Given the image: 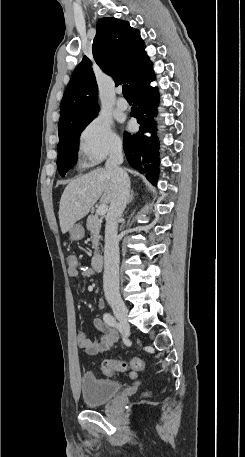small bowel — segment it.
I'll list each match as a JSON object with an SVG mask.
<instances>
[{
  "instance_id": "small-bowel-1",
  "label": "small bowel",
  "mask_w": 245,
  "mask_h": 457,
  "mask_svg": "<svg viewBox=\"0 0 245 457\" xmlns=\"http://www.w3.org/2000/svg\"><path fill=\"white\" fill-rule=\"evenodd\" d=\"M68 274L72 278H76L78 276L91 277L94 275V272L91 271L90 269H86V268H82L80 270L69 268ZM104 306H105L104 300L100 299L98 301V308L101 309ZM94 324H95L96 328L104 334L103 337L99 341L90 340L83 332H79L78 336H77L78 347L89 355H97V354L108 351L109 349L112 348V346L118 339V332L115 329L111 328L105 322L104 318L95 316Z\"/></svg>"
}]
</instances>
